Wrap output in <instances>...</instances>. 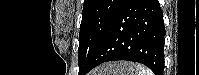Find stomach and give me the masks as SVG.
I'll list each match as a JSON object with an SVG mask.
<instances>
[{"instance_id":"0dacf381","label":"stomach","mask_w":199,"mask_h":75,"mask_svg":"<svg viewBox=\"0 0 199 75\" xmlns=\"http://www.w3.org/2000/svg\"><path fill=\"white\" fill-rule=\"evenodd\" d=\"M135 66L127 62L108 63L99 68L95 75H134Z\"/></svg>"}]
</instances>
